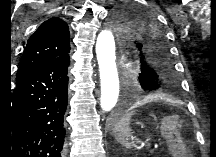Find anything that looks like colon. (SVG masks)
Here are the masks:
<instances>
[{"label": "colon", "mask_w": 216, "mask_h": 157, "mask_svg": "<svg viewBox=\"0 0 216 157\" xmlns=\"http://www.w3.org/2000/svg\"><path fill=\"white\" fill-rule=\"evenodd\" d=\"M182 125L177 115H170L163 120V129L167 134H173Z\"/></svg>", "instance_id": "obj_1"}]
</instances>
